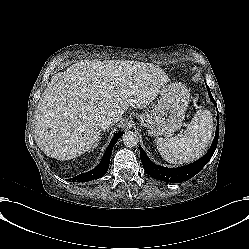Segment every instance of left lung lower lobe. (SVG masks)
<instances>
[{
	"mask_svg": "<svg viewBox=\"0 0 249 249\" xmlns=\"http://www.w3.org/2000/svg\"><path fill=\"white\" fill-rule=\"evenodd\" d=\"M207 88H208V94L210 96L211 101L217 107L216 102H215L214 98L212 97L208 86H207ZM217 120H218V116H217ZM218 122H219V120H218ZM218 135H219V126L217 125L215 138L212 142L210 150L207 152V154L204 157H202L201 159H199L198 161H196L190 165H187L184 167H179V168H173V169L158 166L149 160V158L147 157V155L145 154L143 149L139 146L141 162L143 164L145 171L151 177H153L155 179L162 180L164 182H170V183H180V182H183L185 180H189L190 178L195 176L207 164V162L211 159V157H212V155L215 152L216 147H217Z\"/></svg>",
	"mask_w": 249,
	"mask_h": 249,
	"instance_id": "0a47b994",
	"label": "left lung lower lobe"
}]
</instances>
